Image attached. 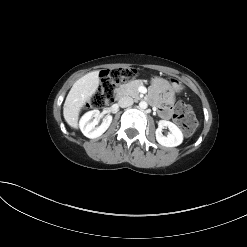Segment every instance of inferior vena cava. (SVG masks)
Masks as SVG:
<instances>
[{"label":"inferior vena cava","instance_id":"602c4592","mask_svg":"<svg viewBox=\"0 0 247 247\" xmlns=\"http://www.w3.org/2000/svg\"><path fill=\"white\" fill-rule=\"evenodd\" d=\"M118 104L122 108L129 107L133 105V98L129 96H123L119 99Z\"/></svg>","mask_w":247,"mask_h":247}]
</instances>
